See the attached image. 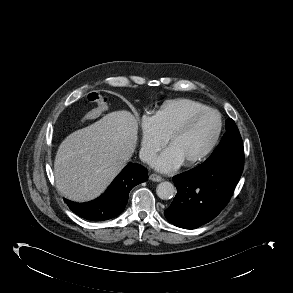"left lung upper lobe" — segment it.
Returning <instances> with one entry per match:
<instances>
[{
  "mask_svg": "<svg viewBox=\"0 0 293 293\" xmlns=\"http://www.w3.org/2000/svg\"><path fill=\"white\" fill-rule=\"evenodd\" d=\"M226 130L227 132L224 134L220 144L218 147L214 150L212 155L204 162V163H213L221 154V150L223 148L227 147H236L241 146L243 147L242 139L239 133V130L235 124V122L230 118L226 121Z\"/></svg>",
  "mask_w": 293,
  "mask_h": 293,
  "instance_id": "left-lung-upper-lobe-1",
  "label": "left lung upper lobe"
}]
</instances>
